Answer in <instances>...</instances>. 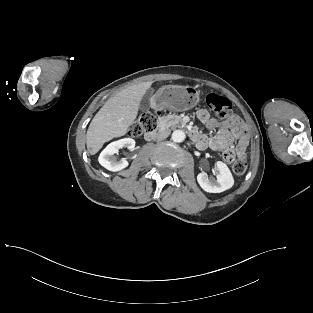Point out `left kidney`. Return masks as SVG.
Returning <instances> with one entry per match:
<instances>
[{
    "mask_svg": "<svg viewBox=\"0 0 313 313\" xmlns=\"http://www.w3.org/2000/svg\"><path fill=\"white\" fill-rule=\"evenodd\" d=\"M216 166L219 170L216 180L209 179L205 173H199L197 175V181L200 187L209 193H220L230 189L234 185V179L228 166L222 161H217Z\"/></svg>",
    "mask_w": 313,
    "mask_h": 313,
    "instance_id": "5707ae66",
    "label": "left kidney"
}]
</instances>
